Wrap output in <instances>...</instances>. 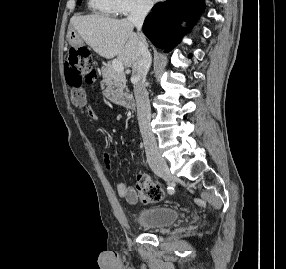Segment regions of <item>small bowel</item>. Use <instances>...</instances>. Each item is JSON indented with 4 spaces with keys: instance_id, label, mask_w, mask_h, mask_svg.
Masks as SVG:
<instances>
[{
    "instance_id": "small-bowel-1",
    "label": "small bowel",
    "mask_w": 286,
    "mask_h": 269,
    "mask_svg": "<svg viewBox=\"0 0 286 269\" xmlns=\"http://www.w3.org/2000/svg\"><path fill=\"white\" fill-rule=\"evenodd\" d=\"M101 93H120V88H101ZM105 99H122V94H105ZM71 100L74 105L83 106L86 103V94L83 89H73L71 91ZM86 115L90 119L95 118V114L91 108L86 109ZM103 163L106 169L112 170L111 149L106 147L103 154ZM149 177V176H148ZM150 179V178H149ZM116 191L120 198L129 203H135L139 197L136 189L125 181H119L116 184Z\"/></svg>"
}]
</instances>
